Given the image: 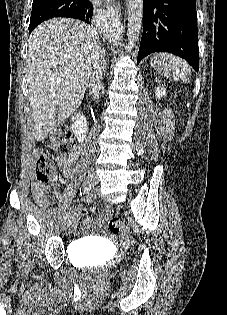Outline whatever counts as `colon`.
<instances>
[{
    "label": "colon",
    "instance_id": "colon-1",
    "mask_svg": "<svg viewBox=\"0 0 227 315\" xmlns=\"http://www.w3.org/2000/svg\"><path fill=\"white\" fill-rule=\"evenodd\" d=\"M46 148L40 147L35 150V162L32 175L34 184L44 186L47 184L53 174V160L49 150L59 154H67L71 146V134L64 128L55 129L45 140ZM109 229L113 234L129 236L130 229L120 219L113 218L109 222Z\"/></svg>",
    "mask_w": 227,
    "mask_h": 315
}]
</instances>
